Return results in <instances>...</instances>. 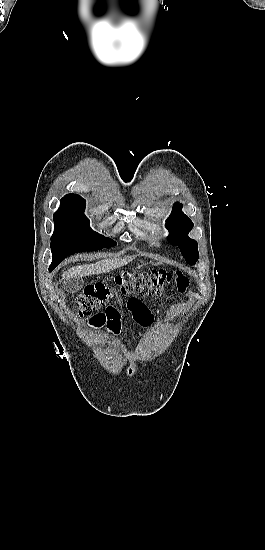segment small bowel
I'll list each match as a JSON object with an SVG mask.
<instances>
[{
	"mask_svg": "<svg viewBox=\"0 0 265 550\" xmlns=\"http://www.w3.org/2000/svg\"><path fill=\"white\" fill-rule=\"evenodd\" d=\"M129 302H138V301H136L135 299H131ZM130 311L132 312L133 315H136V314L140 315L143 320H146L149 317L148 307L141 302H139L138 305L134 306ZM113 329L115 332H118L117 328H113Z\"/></svg>",
	"mask_w": 265,
	"mask_h": 550,
	"instance_id": "obj_1",
	"label": "small bowel"
}]
</instances>
